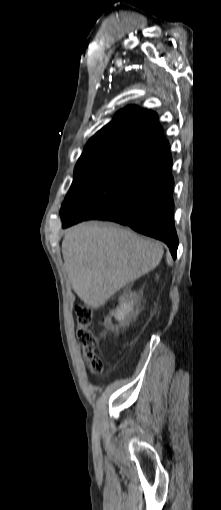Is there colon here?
Returning <instances> with one entry per match:
<instances>
[{
    "mask_svg": "<svg viewBox=\"0 0 221 510\" xmlns=\"http://www.w3.org/2000/svg\"><path fill=\"white\" fill-rule=\"evenodd\" d=\"M93 309L89 306L76 308V319L79 325L78 339L83 346V357L88 370L92 374H98L103 369V361L96 354L97 338L90 326L93 322Z\"/></svg>",
    "mask_w": 221,
    "mask_h": 510,
    "instance_id": "obj_1",
    "label": "colon"
}]
</instances>
